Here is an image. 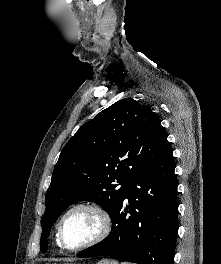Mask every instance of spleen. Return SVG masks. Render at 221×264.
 <instances>
[{"mask_svg":"<svg viewBox=\"0 0 221 264\" xmlns=\"http://www.w3.org/2000/svg\"><path fill=\"white\" fill-rule=\"evenodd\" d=\"M121 264H129V263H127V262H122Z\"/></svg>","mask_w":221,"mask_h":264,"instance_id":"spleen-1","label":"spleen"}]
</instances>
